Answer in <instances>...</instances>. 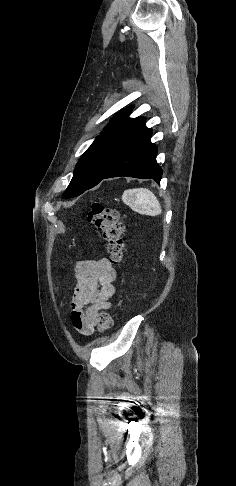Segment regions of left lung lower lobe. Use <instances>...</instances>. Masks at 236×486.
Masks as SVG:
<instances>
[{
	"label": "left lung lower lobe",
	"instance_id": "obj_1",
	"mask_svg": "<svg viewBox=\"0 0 236 486\" xmlns=\"http://www.w3.org/2000/svg\"><path fill=\"white\" fill-rule=\"evenodd\" d=\"M151 135V129L140 135L103 179L127 176L160 183L162 170L156 162L157 147L151 143Z\"/></svg>",
	"mask_w": 236,
	"mask_h": 486
}]
</instances>
